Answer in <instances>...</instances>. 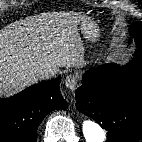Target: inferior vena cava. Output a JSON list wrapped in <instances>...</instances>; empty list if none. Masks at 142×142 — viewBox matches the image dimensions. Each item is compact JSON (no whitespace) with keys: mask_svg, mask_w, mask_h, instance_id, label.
I'll return each mask as SVG.
<instances>
[{"mask_svg":"<svg viewBox=\"0 0 142 142\" xmlns=\"http://www.w3.org/2000/svg\"><path fill=\"white\" fill-rule=\"evenodd\" d=\"M57 69L51 66H43L39 68L35 74L39 79H47L54 76L57 73Z\"/></svg>","mask_w":142,"mask_h":142,"instance_id":"obj_1","label":"inferior vena cava"}]
</instances>
